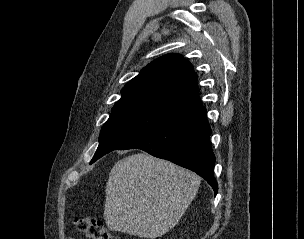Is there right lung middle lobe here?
I'll use <instances>...</instances> for the list:
<instances>
[{
	"label": "right lung middle lobe",
	"mask_w": 304,
	"mask_h": 239,
	"mask_svg": "<svg viewBox=\"0 0 304 239\" xmlns=\"http://www.w3.org/2000/svg\"><path fill=\"white\" fill-rule=\"evenodd\" d=\"M167 121L165 117L145 111L113 112L102 127L91 163Z\"/></svg>",
	"instance_id": "1"
}]
</instances>
